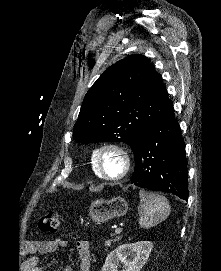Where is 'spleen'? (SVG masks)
Returning <instances> with one entry per match:
<instances>
[{"label":"spleen","instance_id":"obj_1","mask_svg":"<svg viewBox=\"0 0 221 271\" xmlns=\"http://www.w3.org/2000/svg\"><path fill=\"white\" fill-rule=\"evenodd\" d=\"M139 197L138 213L141 227L148 229L167 219L171 209L164 195L140 189Z\"/></svg>","mask_w":221,"mask_h":271}]
</instances>
